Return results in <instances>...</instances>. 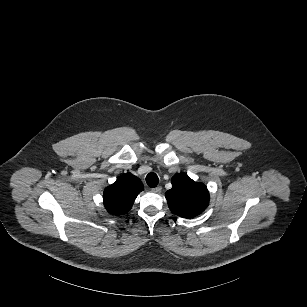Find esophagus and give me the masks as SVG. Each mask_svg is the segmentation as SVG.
Instances as JSON below:
<instances>
[{
    "label": "esophagus",
    "instance_id": "34e87169",
    "mask_svg": "<svg viewBox=\"0 0 307 307\" xmlns=\"http://www.w3.org/2000/svg\"><path fill=\"white\" fill-rule=\"evenodd\" d=\"M161 190H162L161 186H157L155 188H152V192L157 193V194H159L161 192Z\"/></svg>",
    "mask_w": 307,
    "mask_h": 307
}]
</instances>
